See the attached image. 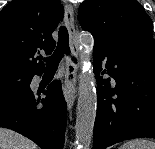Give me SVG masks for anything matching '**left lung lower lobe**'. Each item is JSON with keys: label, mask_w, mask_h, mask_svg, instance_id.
Returning <instances> with one entry per match:
<instances>
[{"label": "left lung lower lobe", "mask_w": 155, "mask_h": 149, "mask_svg": "<svg viewBox=\"0 0 155 149\" xmlns=\"http://www.w3.org/2000/svg\"><path fill=\"white\" fill-rule=\"evenodd\" d=\"M94 73L98 83L93 149H105L134 138H155L154 47L108 49L94 47ZM116 81L100 76L101 61Z\"/></svg>", "instance_id": "1"}]
</instances>
